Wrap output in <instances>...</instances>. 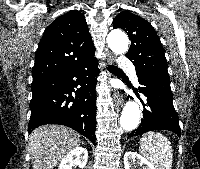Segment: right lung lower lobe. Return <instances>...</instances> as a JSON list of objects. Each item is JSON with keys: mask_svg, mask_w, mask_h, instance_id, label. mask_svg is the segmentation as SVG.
Listing matches in <instances>:
<instances>
[{"mask_svg": "<svg viewBox=\"0 0 200 169\" xmlns=\"http://www.w3.org/2000/svg\"><path fill=\"white\" fill-rule=\"evenodd\" d=\"M96 64L93 56L69 72L32 82L29 133L41 125L59 124L76 130L95 144V86L100 72ZM77 86L80 88L75 90Z\"/></svg>", "mask_w": 200, "mask_h": 169, "instance_id": "1", "label": "right lung lower lobe"}]
</instances>
